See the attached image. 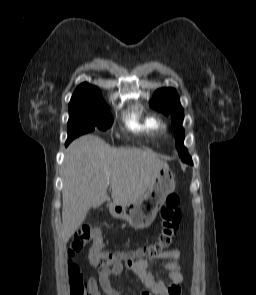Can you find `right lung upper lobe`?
I'll use <instances>...</instances> for the list:
<instances>
[{
	"label": "right lung upper lobe",
	"mask_w": 256,
	"mask_h": 295,
	"mask_svg": "<svg viewBox=\"0 0 256 295\" xmlns=\"http://www.w3.org/2000/svg\"><path fill=\"white\" fill-rule=\"evenodd\" d=\"M88 100H103V98L95 86L82 83L76 88L69 105Z\"/></svg>",
	"instance_id": "right-lung-upper-lobe-1"
}]
</instances>
